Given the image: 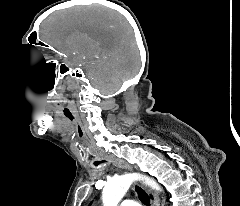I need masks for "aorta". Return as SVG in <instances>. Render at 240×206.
<instances>
[{
	"instance_id": "1",
	"label": "aorta",
	"mask_w": 240,
	"mask_h": 206,
	"mask_svg": "<svg viewBox=\"0 0 240 206\" xmlns=\"http://www.w3.org/2000/svg\"><path fill=\"white\" fill-rule=\"evenodd\" d=\"M141 178L139 175L126 174L116 178L110 179L102 193V201L104 206H117L120 200L123 198L133 181ZM147 185L151 188L160 190L159 185L151 178L142 177Z\"/></svg>"
}]
</instances>
